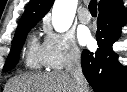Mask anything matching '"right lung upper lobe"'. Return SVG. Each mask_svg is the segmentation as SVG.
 <instances>
[{"instance_id":"1","label":"right lung upper lobe","mask_w":127,"mask_h":92,"mask_svg":"<svg viewBox=\"0 0 127 92\" xmlns=\"http://www.w3.org/2000/svg\"><path fill=\"white\" fill-rule=\"evenodd\" d=\"M53 2L54 0H31L19 21L16 33L26 27L36 25L49 11ZM121 4L120 0H100L99 9L114 8Z\"/></svg>"}]
</instances>
